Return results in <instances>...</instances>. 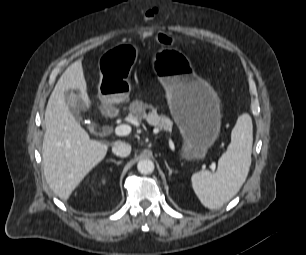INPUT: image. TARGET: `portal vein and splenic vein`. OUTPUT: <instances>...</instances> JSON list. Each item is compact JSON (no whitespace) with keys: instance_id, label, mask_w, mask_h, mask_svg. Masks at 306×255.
Listing matches in <instances>:
<instances>
[{"instance_id":"obj_1","label":"portal vein and splenic vein","mask_w":306,"mask_h":255,"mask_svg":"<svg viewBox=\"0 0 306 255\" xmlns=\"http://www.w3.org/2000/svg\"><path fill=\"white\" fill-rule=\"evenodd\" d=\"M130 132H131V127L129 125H126V124L119 125V126L115 127V129H114V133L117 136H126V135L130 134ZM212 170H214V169H212Z\"/></svg>"}]
</instances>
